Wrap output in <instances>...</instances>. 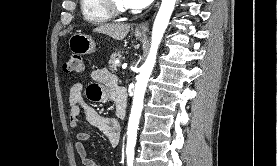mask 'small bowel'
<instances>
[{
  "mask_svg": "<svg viewBox=\"0 0 277 166\" xmlns=\"http://www.w3.org/2000/svg\"><path fill=\"white\" fill-rule=\"evenodd\" d=\"M90 83L86 89L88 100L97 103H108L115 101V94L119 90L117 76L107 69H95L91 72ZM82 85L74 84L69 92V124L76 128L79 124L80 115H84L86 120L93 126L99 128L107 137L110 145L115 147L120 139V126L113 118L100 115L91 108L84 100ZM90 138L87 132L76 134L75 151L82 166H100L87 154L85 142Z\"/></svg>",
  "mask_w": 277,
  "mask_h": 166,
  "instance_id": "1",
  "label": "small bowel"
}]
</instances>
